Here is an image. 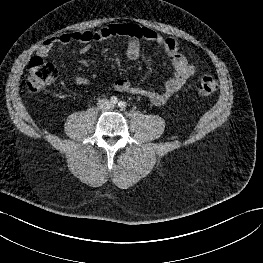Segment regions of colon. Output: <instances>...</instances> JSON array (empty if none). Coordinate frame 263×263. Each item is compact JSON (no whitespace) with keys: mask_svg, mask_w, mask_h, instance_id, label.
<instances>
[{"mask_svg":"<svg viewBox=\"0 0 263 263\" xmlns=\"http://www.w3.org/2000/svg\"><path fill=\"white\" fill-rule=\"evenodd\" d=\"M57 71L55 66L43 57L31 59L26 87L31 92H39L55 80ZM217 90V82L211 76H204L200 80L199 91L203 95L213 94Z\"/></svg>","mask_w":263,"mask_h":263,"instance_id":"1","label":"colon"}]
</instances>
